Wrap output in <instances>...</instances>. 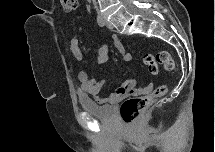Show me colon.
I'll use <instances>...</instances> for the list:
<instances>
[{"instance_id":"obj_1","label":"colon","mask_w":215,"mask_h":152,"mask_svg":"<svg viewBox=\"0 0 215 152\" xmlns=\"http://www.w3.org/2000/svg\"><path fill=\"white\" fill-rule=\"evenodd\" d=\"M62 6L66 13H71L76 9L77 1L62 0ZM144 64L152 74L158 72L159 66H162L167 71H172L175 68L174 60L168 51H159L155 55H145ZM167 90L166 85H160L147 96L126 98L119 108L121 119L127 124H132L154 100L165 96Z\"/></svg>"}]
</instances>
